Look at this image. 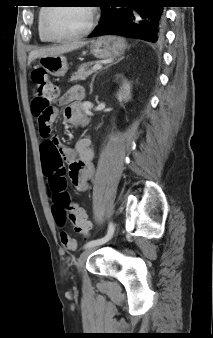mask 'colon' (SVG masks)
Returning a JSON list of instances; mask_svg holds the SVG:
<instances>
[{
	"instance_id": "colon-1",
	"label": "colon",
	"mask_w": 213,
	"mask_h": 338,
	"mask_svg": "<svg viewBox=\"0 0 213 338\" xmlns=\"http://www.w3.org/2000/svg\"><path fill=\"white\" fill-rule=\"evenodd\" d=\"M32 81L34 83L32 112L38 120L40 135L47 139L50 133L49 122L54 116L53 101L57 96V87L43 70L34 71L32 73ZM59 145L60 141L55 137L50 141L44 142L42 150L49 154ZM64 187L63 183L59 184L58 191L53 197L55 211L59 215H67L73 223L75 231L87 236L91 229V224L87 220L82 208L70 202V198L64 191ZM60 239L66 250L72 251L76 249L77 243L75 239L71 238L67 233L62 232Z\"/></svg>"
}]
</instances>
